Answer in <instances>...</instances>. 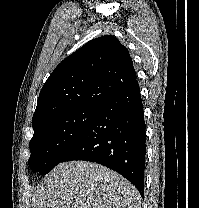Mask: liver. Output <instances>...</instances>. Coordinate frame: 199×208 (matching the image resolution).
<instances>
[{
  "instance_id": "1",
  "label": "liver",
  "mask_w": 199,
  "mask_h": 208,
  "mask_svg": "<svg viewBox=\"0 0 199 208\" xmlns=\"http://www.w3.org/2000/svg\"><path fill=\"white\" fill-rule=\"evenodd\" d=\"M33 208H141L137 189L97 163H60L34 189Z\"/></svg>"
}]
</instances>
